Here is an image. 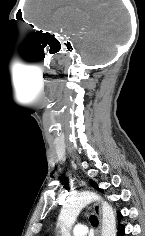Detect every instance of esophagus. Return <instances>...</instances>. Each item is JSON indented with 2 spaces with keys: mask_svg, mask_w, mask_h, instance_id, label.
<instances>
[{
  "mask_svg": "<svg viewBox=\"0 0 145 236\" xmlns=\"http://www.w3.org/2000/svg\"><path fill=\"white\" fill-rule=\"evenodd\" d=\"M78 182H79V185L81 187H86V184L84 181H82L81 179H78ZM93 209H94V212L97 214L98 216V219H99V233H100V230H101V221H102V213H101V208H100V205L98 203H94L93 204Z\"/></svg>",
  "mask_w": 145,
  "mask_h": 236,
  "instance_id": "1",
  "label": "esophagus"
}]
</instances>
